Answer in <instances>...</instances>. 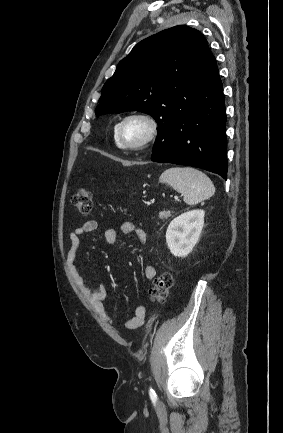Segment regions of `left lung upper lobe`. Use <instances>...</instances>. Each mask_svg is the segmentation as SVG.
I'll use <instances>...</instances> for the list:
<instances>
[{"label": "left lung upper lobe", "mask_w": 283, "mask_h": 433, "mask_svg": "<svg viewBox=\"0 0 283 433\" xmlns=\"http://www.w3.org/2000/svg\"><path fill=\"white\" fill-rule=\"evenodd\" d=\"M211 53L196 29L178 25L135 45L102 89L96 116L141 111L159 128L172 124L196 104L197 78Z\"/></svg>", "instance_id": "obj_1"}]
</instances>
